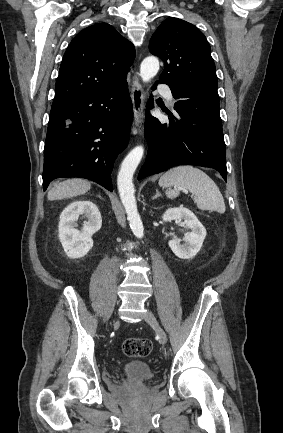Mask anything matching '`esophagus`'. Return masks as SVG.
<instances>
[{"label":"esophagus","mask_w":283,"mask_h":433,"mask_svg":"<svg viewBox=\"0 0 283 433\" xmlns=\"http://www.w3.org/2000/svg\"><path fill=\"white\" fill-rule=\"evenodd\" d=\"M131 99L133 104L134 122L136 126H140L144 118V92L137 74L133 79Z\"/></svg>","instance_id":"obj_1"}]
</instances>
